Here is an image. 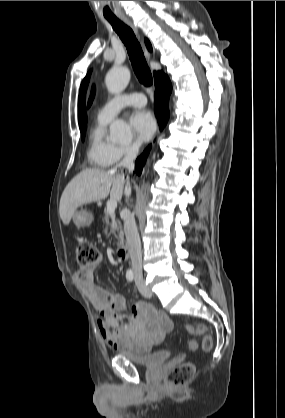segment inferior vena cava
Masks as SVG:
<instances>
[{
	"mask_svg": "<svg viewBox=\"0 0 285 418\" xmlns=\"http://www.w3.org/2000/svg\"><path fill=\"white\" fill-rule=\"evenodd\" d=\"M138 154V147L136 145L131 146L123 160L117 165L116 168L120 169L119 176H124V168L129 171L134 170V160ZM131 194V186L129 181H127L125 186V195L129 197ZM124 220V232L126 236V241L129 247V253L131 258L132 270L135 276L142 275V252H141V241L138 234L135 217L129 211L123 218Z\"/></svg>",
	"mask_w": 285,
	"mask_h": 418,
	"instance_id": "obj_1",
	"label": "inferior vena cava"
}]
</instances>
